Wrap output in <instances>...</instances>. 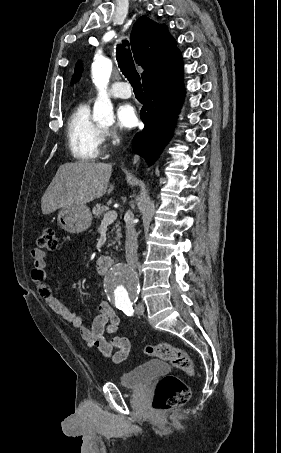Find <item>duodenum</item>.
Wrapping results in <instances>:
<instances>
[{"mask_svg":"<svg viewBox=\"0 0 281 453\" xmlns=\"http://www.w3.org/2000/svg\"><path fill=\"white\" fill-rule=\"evenodd\" d=\"M113 265V260L110 256L102 255L97 259L96 267L99 274H106Z\"/></svg>","mask_w":281,"mask_h":453,"instance_id":"duodenum-1","label":"duodenum"}]
</instances>
